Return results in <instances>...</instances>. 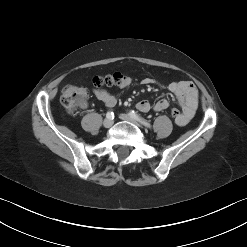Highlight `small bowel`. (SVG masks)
<instances>
[{
  "instance_id": "c3829d8e",
  "label": "small bowel",
  "mask_w": 247,
  "mask_h": 247,
  "mask_svg": "<svg viewBox=\"0 0 247 247\" xmlns=\"http://www.w3.org/2000/svg\"><path fill=\"white\" fill-rule=\"evenodd\" d=\"M141 82L144 85H160L167 89L170 93L174 94L181 106V115L176 120V124L178 126H185L190 122L198 106V90L192 82L173 81L167 85H162L157 80L149 77L144 78ZM131 83V79L126 77L122 82L121 87H128ZM94 94L97 99L104 103L107 107H114L117 103L116 97L103 89H94ZM136 106L137 109L142 112H148L151 109L155 111H164L169 107V101L165 98H161L154 104H151L148 100L144 99L139 101Z\"/></svg>"
}]
</instances>
